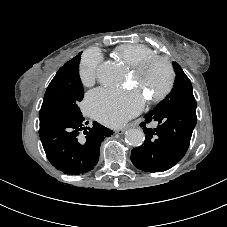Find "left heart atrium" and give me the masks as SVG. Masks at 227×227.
<instances>
[{
  "mask_svg": "<svg viewBox=\"0 0 227 227\" xmlns=\"http://www.w3.org/2000/svg\"><path fill=\"white\" fill-rule=\"evenodd\" d=\"M144 103V97L134 91L100 88L87 95L85 108L95 119L118 127L137 115Z\"/></svg>",
  "mask_w": 227,
  "mask_h": 227,
  "instance_id": "1",
  "label": "left heart atrium"
}]
</instances>
